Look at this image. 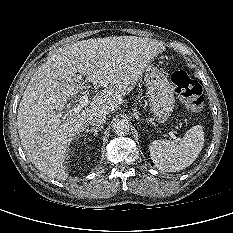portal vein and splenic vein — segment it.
<instances>
[{
	"mask_svg": "<svg viewBox=\"0 0 233 233\" xmlns=\"http://www.w3.org/2000/svg\"><path fill=\"white\" fill-rule=\"evenodd\" d=\"M81 80H82V76L81 75H78L77 78L75 79L76 82H79ZM87 104H88V96L86 94L82 95L80 97V99H79V104L76 105V106H74V107H72L68 112L75 114V113L81 111ZM169 135L175 141H179V138H177L172 131L169 133Z\"/></svg>",
	"mask_w": 233,
	"mask_h": 233,
	"instance_id": "obj_1",
	"label": "portal vein and splenic vein"
}]
</instances>
